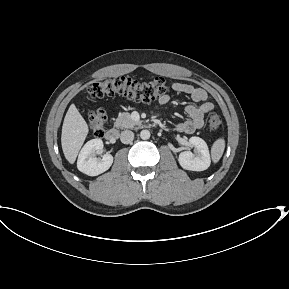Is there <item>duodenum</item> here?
<instances>
[{
  "label": "duodenum",
  "mask_w": 289,
  "mask_h": 289,
  "mask_svg": "<svg viewBox=\"0 0 289 289\" xmlns=\"http://www.w3.org/2000/svg\"><path fill=\"white\" fill-rule=\"evenodd\" d=\"M106 140L113 143L119 138V130L116 128L109 129L105 134Z\"/></svg>",
  "instance_id": "duodenum-1"
}]
</instances>
